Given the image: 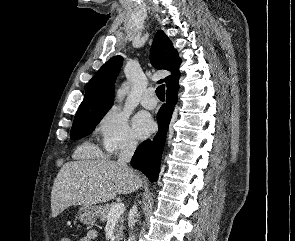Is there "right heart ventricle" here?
I'll list each match as a JSON object with an SVG mask.
<instances>
[{
	"instance_id": "right-heart-ventricle-1",
	"label": "right heart ventricle",
	"mask_w": 295,
	"mask_h": 241,
	"mask_svg": "<svg viewBox=\"0 0 295 241\" xmlns=\"http://www.w3.org/2000/svg\"><path fill=\"white\" fill-rule=\"evenodd\" d=\"M75 156L78 158H100L103 157V154L92 144L83 143L77 148Z\"/></svg>"
}]
</instances>
